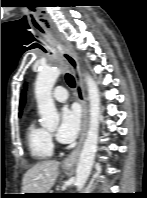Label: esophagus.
Segmentation results:
<instances>
[{
  "instance_id": "obj_1",
  "label": "esophagus",
  "mask_w": 147,
  "mask_h": 198,
  "mask_svg": "<svg viewBox=\"0 0 147 198\" xmlns=\"http://www.w3.org/2000/svg\"><path fill=\"white\" fill-rule=\"evenodd\" d=\"M61 54L63 58L66 60V62L69 64V66L71 67V70L76 79L77 98L81 103L82 113H83L82 133H81L80 142L78 146L75 148V150L72 151L63 161V165L65 167H73L78 160L82 148V144L87 132V127H88L87 100H86L85 89H84V84L80 70V62L78 60L76 53L68 46H63L61 49Z\"/></svg>"
}]
</instances>
